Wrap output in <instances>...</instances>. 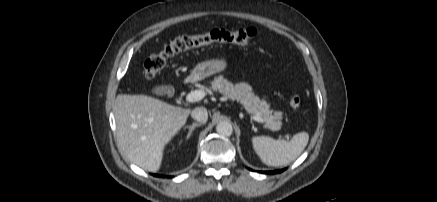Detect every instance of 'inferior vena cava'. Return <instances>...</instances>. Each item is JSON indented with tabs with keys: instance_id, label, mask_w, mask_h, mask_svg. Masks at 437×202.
<instances>
[{
	"instance_id": "602c4592",
	"label": "inferior vena cava",
	"mask_w": 437,
	"mask_h": 202,
	"mask_svg": "<svg viewBox=\"0 0 437 202\" xmlns=\"http://www.w3.org/2000/svg\"><path fill=\"white\" fill-rule=\"evenodd\" d=\"M191 117L200 123H206L208 120L207 109L205 107H196L191 111Z\"/></svg>"
}]
</instances>
